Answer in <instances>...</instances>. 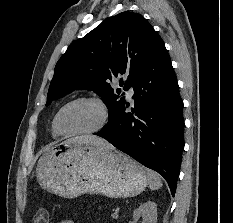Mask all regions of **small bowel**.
<instances>
[{
    "mask_svg": "<svg viewBox=\"0 0 233 223\" xmlns=\"http://www.w3.org/2000/svg\"><path fill=\"white\" fill-rule=\"evenodd\" d=\"M61 223H76L75 220L71 219V218H67L61 221Z\"/></svg>",
    "mask_w": 233,
    "mask_h": 223,
    "instance_id": "1",
    "label": "small bowel"
}]
</instances>
